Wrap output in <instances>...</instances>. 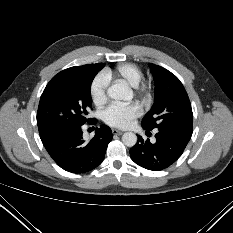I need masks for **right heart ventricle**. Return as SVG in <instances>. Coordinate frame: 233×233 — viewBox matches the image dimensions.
<instances>
[{"mask_svg":"<svg viewBox=\"0 0 233 233\" xmlns=\"http://www.w3.org/2000/svg\"><path fill=\"white\" fill-rule=\"evenodd\" d=\"M104 74L108 77V79H110L113 75V72L106 70L104 71ZM114 74L125 80L133 87L138 86L143 78L141 69L132 63H123L118 65Z\"/></svg>","mask_w":233,"mask_h":233,"instance_id":"obj_1","label":"right heart ventricle"}]
</instances>
